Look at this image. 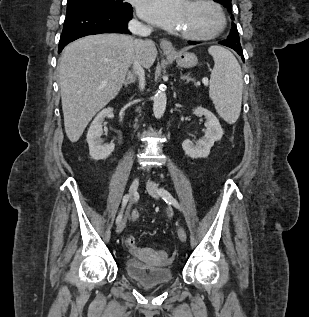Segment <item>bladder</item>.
<instances>
[{"label": "bladder", "instance_id": "bladder-1", "mask_svg": "<svg viewBox=\"0 0 309 317\" xmlns=\"http://www.w3.org/2000/svg\"><path fill=\"white\" fill-rule=\"evenodd\" d=\"M126 275L143 288H155L169 284L173 272L167 265H152L133 257L124 261Z\"/></svg>", "mask_w": 309, "mask_h": 317}]
</instances>
